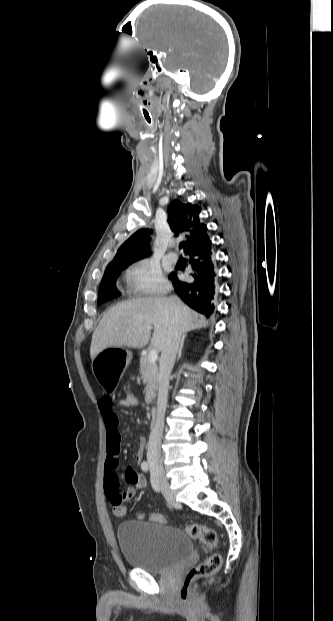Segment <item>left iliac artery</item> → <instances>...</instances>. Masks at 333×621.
I'll list each match as a JSON object with an SVG mask.
<instances>
[{"label": "left iliac artery", "mask_w": 333, "mask_h": 621, "mask_svg": "<svg viewBox=\"0 0 333 621\" xmlns=\"http://www.w3.org/2000/svg\"><path fill=\"white\" fill-rule=\"evenodd\" d=\"M152 485H153V487H154V488L158 489V486H157V482H156V481L152 480Z\"/></svg>", "instance_id": "left-iliac-artery-1"}]
</instances>
